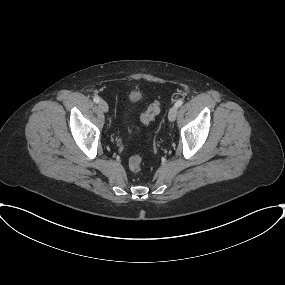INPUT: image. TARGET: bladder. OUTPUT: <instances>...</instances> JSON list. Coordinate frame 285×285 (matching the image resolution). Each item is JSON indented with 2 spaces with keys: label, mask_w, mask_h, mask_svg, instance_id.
<instances>
[{
  "label": "bladder",
  "mask_w": 285,
  "mask_h": 285,
  "mask_svg": "<svg viewBox=\"0 0 285 285\" xmlns=\"http://www.w3.org/2000/svg\"><path fill=\"white\" fill-rule=\"evenodd\" d=\"M137 96H138L137 93L134 92V93H132V94L130 95V99H131V100H134V99L137 98Z\"/></svg>",
  "instance_id": "31cf9c89"
}]
</instances>
